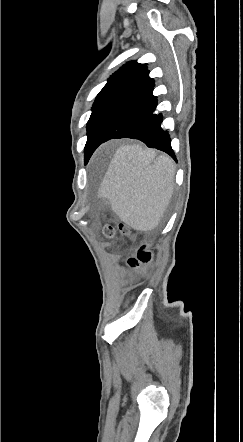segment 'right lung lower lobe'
<instances>
[{
    "instance_id": "obj_1",
    "label": "right lung lower lobe",
    "mask_w": 243,
    "mask_h": 442,
    "mask_svg": "<svg viewBox=\"0 0 243 442\" xmlns=\"http://www.w3.org/2000/svg\"><path fill=\"white\" fill-rule=\"evenodd\" d=\"M153 87L154 82L137 89L108 112L90 138L85 149V161L100 144L113 138L138 139L176 160L169 134L161 127L162 115L155 113L157 98L153 95Z\"/></svg>"
}]
</instances>
